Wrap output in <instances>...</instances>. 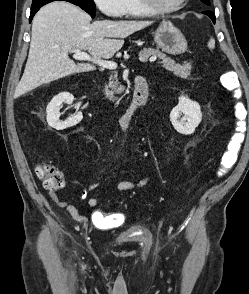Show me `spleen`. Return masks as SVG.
<instances>
[{"instance_id":"3e777b00","label":"spleen","mask_w":249,"mask_h":294,"mask_svg":"<svg viewBox=\"0 0 249 294\" xmlns=\"http://www.w3.org/2000/svg\"><path fill=\"white\" fill-rule=\"evenodd\" d=\"M208 47L210 49H213L215 47V40L213 38H211L208 42Z\"/></svg>"}]
</instances>
